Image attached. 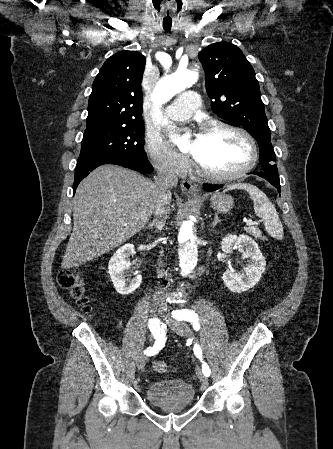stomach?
<instances>
[{
  "mask_svg": "<svg viewBox=\"0 0 333 449\" xmlns=\"http://www.w3.org/2000/svg\"><path fill=\"white\" fill-rule=\"evenodd\" d=\"M210 200L211 207L218 213H227L234 205L233 198L224 193H215Z\"/></svg>",
  "mask_w": 333,
  "mask_h": 449,
  "instance_id": "0dacf381",
  "label": "stomach"
}]
</instances>
